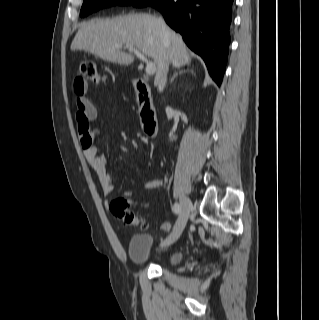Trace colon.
I'll use <instances>...</instances> for the list:
<instances>
[{"mask_svg": "<svg viewBox=\"0 0 319 320\" xmlns=\"http://www.w3.org/2000/svg\"><path fill=\"white\" fill-rule=\"evenodd\" d=\"M105 79L106 77L100 74L97 64L94 61L87 60L82 61L79 64L78 76L75 80V84L79 86H83L87 83L99 84ZM78 123L81 142L85 145L92 144L95 139V134L88 119L82 115ZM131 206L132 203L129 200L117 198L111 201L110 211L113 215L120 218L125 225L145 226L142 218L132 211ZM160 228L162 231H169L171 225L169 223H162Z\"/></svg>", "mask_w": 319, "mask_h": 320, "instance_id": "5ec220e1", "label": "colon"}]
</instances>
